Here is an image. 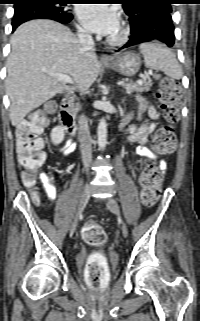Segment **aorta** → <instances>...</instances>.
<instances>
[{
    "label": "aorta",
    "mask_w": 200,
    "mask_h": 321,
    "mask_svg": "<svg viewBox=\"0 0 200 321\" xmlns=\"http://www.w3.org/2000/svg\"><path fill=\"white\" fill-rule=\"evenodd\" d=\"M97 138L99 148L103 150L107 143V123L104 118H102L98 124Z\"/></svg>",
    "instance_id": "1"
}]
</instances>
